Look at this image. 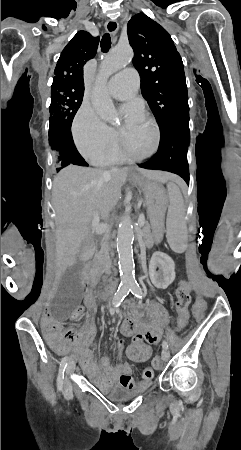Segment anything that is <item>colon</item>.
I'll return each mask as SVG.
<instances>
[{
	"mask_svg": "<svg viewBox=\"0 0 241 450\" xmlns=\"http://www.w3.org/2000/svg\"><path fill=\"white\" fill-rule=\"evenodd\" d=\"M191 297L189 293V288L185 285H182L177 291V299L175 302L177 304V312L180 314V324L182 326H187L189 324V320L191 319V314L189 311ZM188 302V304H187ZM193 313L195 317H204L205 315V306L208 304V299L206 297H194L192 299ZM76 314L78 316H83L85 314V309L83 307H78L76 309ZM178 326V325H177ZM153 367L159 366V357H154Z\"/></svg>",
	"mask_w": 241,
	"mask_h": 450,
	"instance_id": "1",
	"label": "colon"
}]
</instances>
